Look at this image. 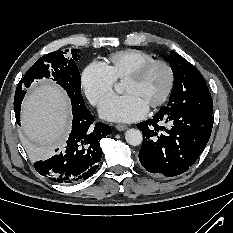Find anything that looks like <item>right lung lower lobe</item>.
Returning a JSON list of instances; mask_svg holds the SVG:
<instances>
[{"mask_svg": "<svg viewBox=\"0 0 233 233\" xmlns=\"http://www.w3.org/2000/svg\"><path fill=\"white\" fill-rule=\"evenodd\" d=\"M22 100L14 102L16 121L20 124ZM72 127L62 147L41 157L34 164L39 174L59 183H74L89 178L102 157L101 138L112 133L110 126L94 122L85 105H72Z\"/></svg>", "mask_w": 233, "mask_h": 233, "instance_id": "1", "label": "right lung lower lobe"}]
</instances>
